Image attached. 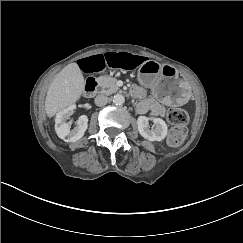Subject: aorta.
Masks as SVG:
<instances>
[{"label":"aorta","instance_id":"obj_1","mask_svg":"<svg viewBox=\"0 0 243 243\" xmlns=\"http://www.w3.org/2000/svg\"><path fill=\"white\" fill-rule=\"evenodd\" d=\"M112 101L115 105H122L125 102V97L118 93L112 97Z\"/></svg>","mask_w":243,"mask_h":243}]
</instances>
